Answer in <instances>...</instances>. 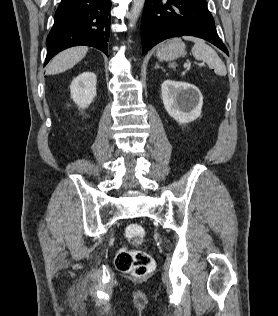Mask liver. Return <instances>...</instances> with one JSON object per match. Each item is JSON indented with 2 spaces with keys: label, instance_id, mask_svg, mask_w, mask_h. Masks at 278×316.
I'll use <instances>...</instances> for the list:
<instances>
[{
  "label": "liver",
  "instance_id": "liver-1",
  "mask_svg": "<svg viewBox=\"0 0 278 316\" xmlns=\"http://www.w3.org/2000/svg\"><path fill=\"white\" fill-rule=\"evenodd\" d=\"M87 51L86 46L72 47L62 51L49 63L46 74L55 75L71 69L85 57Z\"/></svg>",
  "mask_w": 278,
  "mask_h": 316
}]
</instances>
